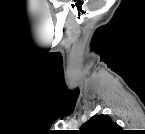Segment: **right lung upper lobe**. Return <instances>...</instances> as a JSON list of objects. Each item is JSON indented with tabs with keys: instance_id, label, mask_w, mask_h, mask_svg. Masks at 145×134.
Segmentation results:
<instances>
[{
	"instance_id": "cb5924a9",
	"label": "right lung upper lobe",
	"mask_w": 145,
	"mask_h": 134,
	"mask_svg": "<svg viewBox=\"0 0 145 134\" xmlns=\"http://www.w3.org/2000/svg\"><path fill=\"white\" fill-rule=\"evenodd\" d=\"M121 127L108 115H94L77 131L78 134H117Z\"/></svg>"
}]
</instances>
